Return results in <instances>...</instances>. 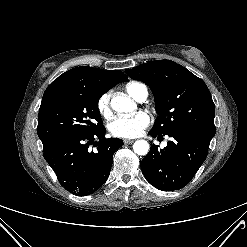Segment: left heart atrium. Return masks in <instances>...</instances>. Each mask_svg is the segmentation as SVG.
I'll return each instance as SVG.
<instances>
[{"label":"left heart atrium","mask_w":247,"mask_h":247,"mask_svg":"<svg viewBox=\"0 0 247 247\" xmlns=\"http://www.w3.org/2000/svg\"><path fill=\"white\" fill-rule=\"evenodd\" d=\"M150 117L145 112L133 115H121L109 123V131L115 137L133 138L137 137L150 124Z\"/></svg>","instance_id":"1"}]
</instances>
